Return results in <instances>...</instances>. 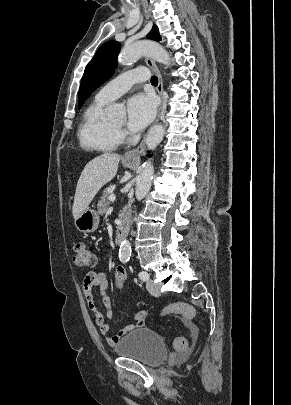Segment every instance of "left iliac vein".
Here are the masks:
<instances>
[{
    "mask_svg": "<svg viewBox=\"0 0 291 405\" xmlns=\"http://www.w3.org/2000/svg\"><path fill=\"white\" fill-rule=\"evenodd\" d=\"M146 288L148 292L153 296H159L160 291L156 283L152 279H148L146 282Z\"/></svg>",
    "mask_w": 291,
    "mask_h": 405,
    "instance_id": "obj_1",
    "label": "left iliac vein"
}]
</instances>
